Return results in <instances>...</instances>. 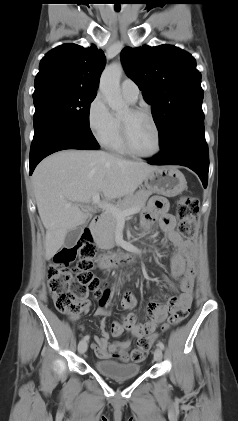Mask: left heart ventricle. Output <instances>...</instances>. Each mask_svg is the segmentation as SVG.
I'll return each mask as SVG.
<instances>
[{
	"mask_svg": "<svg viewBox=\"0 0 238 421\" xmlns=\"http://www.w3.org/2000/svg\"><path fill=\"white\" fill-rule=\"evenodd\" d=\"M120 118L127 123L131 144L137 152L141 154H150L156 149V131L147 116L133 114L130 109H128Z\"/></svg>",
	"mask_w": 238,
	"mask_h": 421,
	"instance_id": "b2bd125f",
	"label": "left heart ventricle"
}]
</instances>
